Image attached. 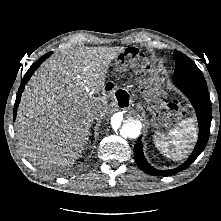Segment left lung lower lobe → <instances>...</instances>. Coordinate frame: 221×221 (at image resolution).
I'll return each instance as SVG.
<instances>
[{
  "mask_svg": "<svg viewBox=\"0 0 221 221\" xmlns=\"http://www.w3.org/2000/svg\"><path fill=\"white\" fill-rule=\"evenodd\" d=\"M174 83L191 101L195 108L199 124V138L197 144L185 163L181 166L161 171L153 168L143 155L141 137L138 138L134 147V157L137 165L144 172L155 176H171L188 168L204 150L210 133L211 125V101L206 81L203 76H189L174 78Z\"/></svg>",
  "mask_w": 221,
  "mask_h": 221,
  "instance_id": "left-lung-lower-lobe-1",
  "label": "left lung lower lobe"
}]
</instances>
